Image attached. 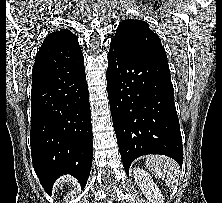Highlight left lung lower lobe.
I'll list each match as a JSON object with an SVG mask.
<instances>
[{
	"label": "left lung lower lobe",
	"mask_w": 222,
	"mask_h": 203,
	"mask_svg": "<svg viewBox=\"0 0 222 203\" xmlns=\"http://www.w3.org/2000/svg\"><path fill=\"white\" fill-rule=\"evenodd\" d=\"M108 97L123 166L141 155L161 154L180 167L183 146L167 58L111 43Z\"/></svg>",
	"instance_id": "1"
}]
</instances>
